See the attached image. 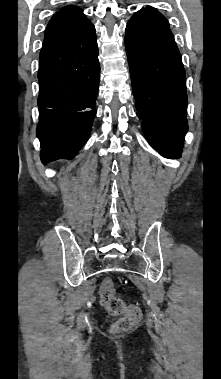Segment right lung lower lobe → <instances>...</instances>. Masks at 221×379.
Here are the masks:
<instances>
[{
    "mask_svg": "<svg viewBox=\"0 0 221 379\" xmlns=\"http://www.w3.org/2000/svg\"><path fill=\"white\" fill-rule=\"evenodd\" d=\"M99 79L97 39L90 21L73 35L42 47L37 136L43 163L71 159L85 144L96 114Z\"/></svg>",
    "mask_w": 221,
    "mask_h": 379,
    "instance_id": "right-lung-lower-lobe-1",
    "label": "right lung lower lobe"
}]
</instances>
